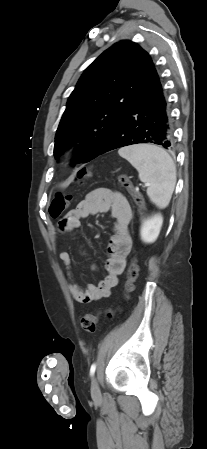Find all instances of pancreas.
<instances>
[{
	"mask_svg": "<svg viewBox=\"0 0 207 449\" xmlns=\"http://www.w3.org/2000/svg\"><path fill=\"white\" fill-rule=\"evenodd\" d=\"M131 195L136 198L137 196H139V194H137L135 191H132Z\"/></svg>",
	"mask_w": 207,
	"mask_h": 449,
	"instance_id": "1",
	"label": "pancreas"
}]
</instances>
